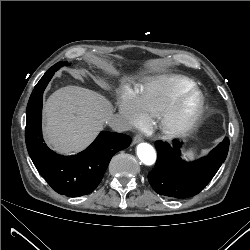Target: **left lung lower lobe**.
I'll return each instance as SVG.
<instances>
[{"mask_svg": "<svg viewBox=\"0 0 250 250\" xmlns=\"http://www.w3.org/2000/svg\"><path fill=\"white\" fill-rule=\"evenodd\" d=\"M157 161L148 174L152 188L160 195L187 198L198 194L214 177L226 159L229 140L225 138L208 156L194 162L180 158L181 143L174 141L173 148L157 141Z\"/></svg>", "mask_w": 250, "mask_h": 250, "instance_id": "left-lung-lower-lobe-1", "label": "left lung lower lobe"}]
</instances>
